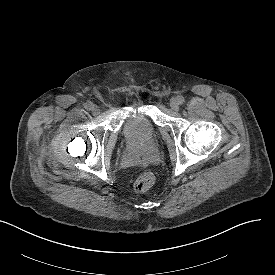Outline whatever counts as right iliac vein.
<instances>
[{
  "label": "right iliac vein",
  "instance_id": "obj_1",
  "mask_svg": "<svg viewBox=\"0 0 275 275\" xmlns=\"http://www.w3.org/2000/svg\"><path fill=\"white\" fill-rule=\"evenodd\" d=\"M91 110H92V113L95 114V115H97L100 112L99 107L97 105H95V104L92 105V109Z\"/></svg>",
  "mask_w": 275,
  "mask_h": 275
}]
</instances>
